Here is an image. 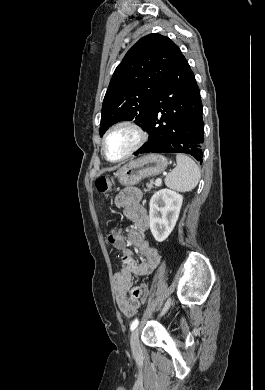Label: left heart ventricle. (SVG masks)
Listing matches in <instances>:
<instances>
[{
    "label": "left heart ventricle",
    "instance_id": "b2bd125f",
    "mask_svg": "<svg viewBox=\"0 0 265 390\" xmlns=\"http://www.w3.org/2000/svg\"><path fill=\"white\" fill-rule=\"evenodd\" d=\"M135 141L131 130L119 129L113 132L106 142V153L109 159L116 160L122 157Z\"/></svg>",
    "mask_w": 265,
    "mask_h": 390
}]
</instances>
